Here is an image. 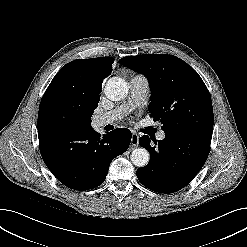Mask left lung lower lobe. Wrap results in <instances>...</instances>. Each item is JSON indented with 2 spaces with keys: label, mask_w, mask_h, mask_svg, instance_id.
Returning <instances> with one entry per match:
<instances>
[{
  "label": "left lung lower lobe",
  "mask_w": 247,
  "mask_h": 247,
  "mask_svg": "<svg viewBox=\"0 0 247 247\" xmlns=\"http://www.w3.org/2000/svg\"><path fill=\"white\" fill-rule=\"evenodd\" d=\"M139 143L150 153L148 165L136 172L140 183L155 192L173 193L185 187L202 168L209 155L211 139L166 134L165 139L157 142L144 135Z\"/></svg>",
  "instance_id": "obj_1"
}]
</instances>
